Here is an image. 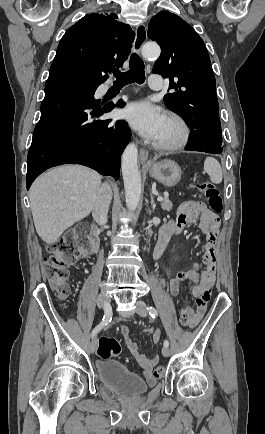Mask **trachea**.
<instances>
[{"label": "trachea", "instance_id": "obj_1", "mask_svg": "<svg viewBox=\"0 0 265 434\" xmlns=\"http://www.w3.org/2000/svg\"><path fill=\"white\" fill-rule=\"evenodd\" d=\"M129 70L127 72H120V70L113 69V74L116 77V84H129L137 82L144 83L145 80V66L143 60L133 53L129 62Z\"/></svg>", "mask_w": 265, "mask_h": 434}]
</instances>
